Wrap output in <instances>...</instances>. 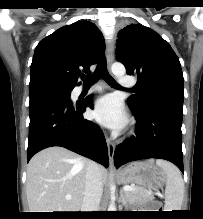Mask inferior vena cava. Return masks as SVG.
Returning <instances> with one entry per match:
<instances>
[{"label": "inferior vena cava", "mask_w": 203, "mask_h": 219, "mask_svg": "<svg viewBox=\"0 0 203 219\" xmlns=\"http://www.w3.org/2000/svg\"><path fill=\"white\" fill-rule=\"evenodd\" d=\"M102 193L103 185L99 178V166L96 162L89 161L86 169V184L81 212L98 211Z\"/></svg>", "instance_id": "1"}]
</instances>
